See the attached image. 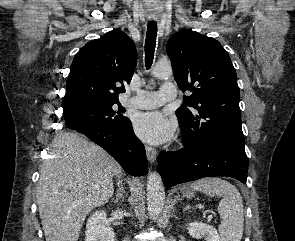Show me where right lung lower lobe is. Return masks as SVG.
I'll return each instance as SVG.
<instances>
[{"label":"right lung lower lobe","instance_id":"98d812e1","mask_svg":"<svg viewBox=\"0 0 295 241\" xmlns=\"http://www.w3.org/2000/svg\"><path fill=\"white\" fill-rule=\"evenodd\" d=\"M86 135L106 150L124 170L135 176L146 175L147 158L142 142L133 132L131 121L124 127L102 123H83L70 127Z\"/></svg>","mask_w":295,"mask_h":241}]
</instances>
